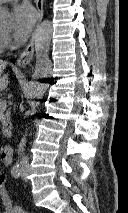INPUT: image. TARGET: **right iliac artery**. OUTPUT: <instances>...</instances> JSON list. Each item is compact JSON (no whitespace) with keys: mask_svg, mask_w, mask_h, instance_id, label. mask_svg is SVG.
<instances>
[{"mask_svg":"<svg viewBox=\"0 0 128 213\" xmlns=\"http://www.w3.org/2000/svg\"><path fill=\"white\" fill-rule=\"evenodd\" d=\"M11 174L14 178H19L21 174L20 166L19 165L13 166L11 169Z\"/></svg>","mask_w":128,"mask_h":213,"instance_id":"obj_1","label":"right iliac artery"}]
</instances>
